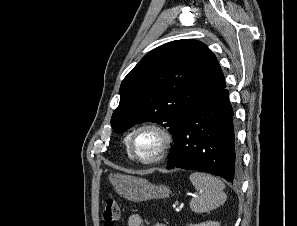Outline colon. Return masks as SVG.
<instances>
[{"label":"colon","mask_w":297,"mask_h":226,"mask_svg":"<svg viewBox=\"0 0 297 226\" xmlns=\"http://www.w3.org/2000/svg\"><path fill=\"white\" fill-rule=\"evenodd\" d=\"M120 219V208L113 199H108L104 203L103 221L105 226H114Z\"/></svg>","instance_id":"5ec220e1"}]
</instances>
